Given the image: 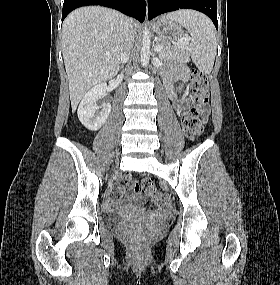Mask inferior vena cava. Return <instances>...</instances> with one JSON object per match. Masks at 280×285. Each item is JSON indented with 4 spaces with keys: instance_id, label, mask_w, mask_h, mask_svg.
<instances>
[{
    "instance_id": "602c4592",
    "label": "inferior vena cava",
    "mask_w": 280,
    "mask_h": 285,
    "mask_svg": "<svg viewBox=\"0 0 280 285\" xmlns=\"http://www.w3.org/2000/svg\"><path fill=\"white\" fill-rule=\"evenodd\" d=\"M133 45H134V31L131 27V24L127 23L124 32L123 49L120 53V61L122 64H125L129 61Z\"/></svg>"
}]
</instances>
